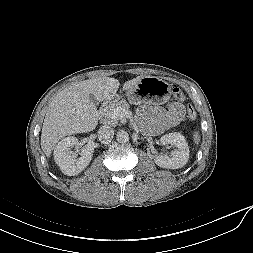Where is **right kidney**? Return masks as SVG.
Instances as JSON below:
<instances>
[{
	"label": "right kidney",
	"mask_w": 253,
	"mask_h": 253,
	"mask_svg": "<svg viewBox=\"0 0 253 253\" xmlns=\"http://www.w3.org/2000/svg\"><path fill=\"white\" fill-rule=\"evenodd\" d=\"M78 143L76 137L62 139L54 149V160L61 171L68 176L81 173L90 163L93 157L94 148L92 145H85L81 149V157L76 158V153L70 151V147Z\"/></svg>",
	"instance_id": "obj_1"
}]
</instances>
